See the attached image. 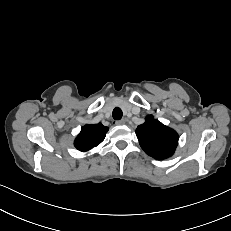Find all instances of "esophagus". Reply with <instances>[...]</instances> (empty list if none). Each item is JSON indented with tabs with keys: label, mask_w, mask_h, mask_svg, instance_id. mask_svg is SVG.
<instances>
[{
	"label": "esophagus",
	"mask_w": 231,
	"mask_h": 231,
	"mask_svg": "<svg viewBox=\"0 0 231 231\" xmlns=\"http://www.w3.org/2000/svg\"><path fill=\"white\" fill-rule=\"evenodd\" d=\"M125 124V120H117L115 121V125H123Z\"/></svg>",
	"instance_id": "34e87169"
}]
</instances>
